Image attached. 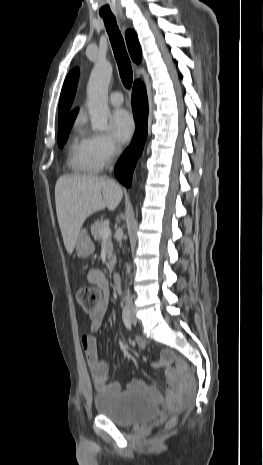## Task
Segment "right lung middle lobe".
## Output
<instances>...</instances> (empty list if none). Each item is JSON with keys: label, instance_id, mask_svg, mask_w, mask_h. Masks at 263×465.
Listing matches in <instances>:
<instances>
[{"label": "right lung middle lobe", "instance_id": "1", "mask_svg": "<svg viewBox=\"0 0 263 465\" xmlns=\"http://www.w3.org/2000/svg\"><path fill=\"white\" fill-rule=\"evenodd\" d=\"M75 118H76V115L58 122V145L59 146H62L66 142L68 138V133L74 123Z\"/></svg>", "mask_w": 263, "mask_h": 465}]
</instances>
